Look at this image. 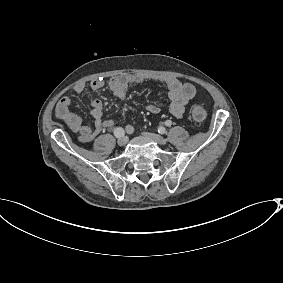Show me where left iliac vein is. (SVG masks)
<instances>
[{"label": "left iliac vein", "instance_id": "left-iliac-vein-1", "mask_svg": "<svg viewBox=\"0 0 283 283\" xmlns=\"http://www.w3.org/2000/svg\"><path fill=\"white\" fill-rule=\"evenodd\" d=\"M143 135L160 145L165 144L166 142V140L161 135L158 134L144 132Z\"/></svg>", "mask_w": 283, "mask_h": 283}]
</instances>
